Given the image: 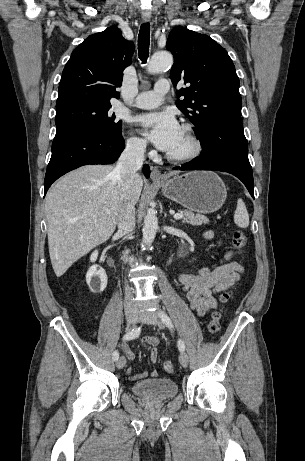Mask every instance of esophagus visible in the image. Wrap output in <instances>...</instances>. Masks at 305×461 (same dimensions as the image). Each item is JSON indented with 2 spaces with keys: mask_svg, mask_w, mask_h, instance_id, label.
Masks as SVG:
<instances>
[{
  "mask_svg": "<svg viewBox=\"0 0 305 461\" xmlns=\"http://www.w3.org/2000/svg\"><path fill=\"white\" fill-rule=\"evenodd\" d=\"M150 19H151L150 16H142L143 22H149ZM151 179L153 181H164L165 177L163 176V174L160 172L159 169H157L156 167H152V169H151Z\"/></svg>",
  "mask_w": 305,
  "mask_h": 461,
  "instance_id": "esophagus-1",
  "label": "esophagus"
}]
</instances>
